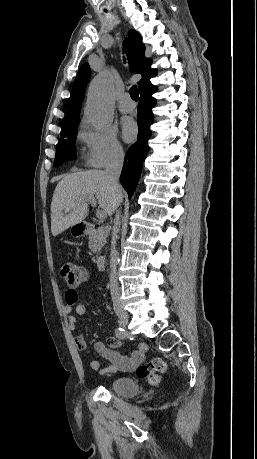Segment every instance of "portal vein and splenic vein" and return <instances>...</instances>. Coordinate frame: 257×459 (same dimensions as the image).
<instances>
[{
  "label": "portal vein and splenic vein",
  "mask_w": 257,
  "mask_h": 459,
  "mask_svg": "<svg viewBox=\"0 0 257 459\" xmlns=\"http://www.w3.org/2000/svg\"><path fill=\"white\" fill-rule=\"evenodd\" d=\"M86 202H87V203H90L92 206H95V205H96V201H95L94 198H89V199L86 200ZM96 216H97V218H98L99 220H103V219L106 217V214H105L104 211L98 210V211L96 212Z\"/></svg>",
  "instance_id": "portal-vein-and-splenic-vein-1"
}]
</instances>
